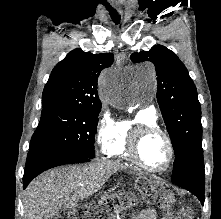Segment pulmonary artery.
Returning a JSON list of instances; mask_svg holds the SVG:
<instances>
[{
  "label": "pulmonary artery",
  "mask_w": 221,
  "mask_h": 219,
  "mask_svg": "<svg viewBox=\"0 0 221 219\" xmlns=\"http://www.w3.org/2000/svg\"><path fill=\"white\" fill-rule=\"evenodd\" d=\"M145 110L151 112V113H156L155 107L154 106H148Z\"/></svg>",
  "instance_id": "e3ab8cb5"
}]
</instances>
